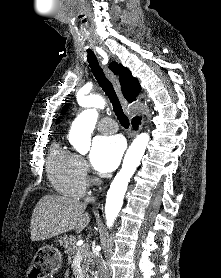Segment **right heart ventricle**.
I'll return each mask as SVG.
<instances>
[{"instance_id": "e07e8e85", "label": "right heart ventricle", "mask_w": 221, "mask_h": 278, "mask_svg": "<svg viewBox=\"0 0 221 278\" xmlns=\"http://www.w3.org/2000/svg\"><path fill=\"white\" fill-rule=\"evenodd\" d=\"M48 177L58 193L80 198L86 191V178L79 168L78 155L54 144L47 159Z\"/></svg>"}]
</instances>
